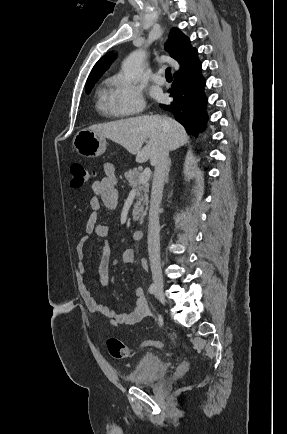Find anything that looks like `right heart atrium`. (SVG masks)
<instances>
[{
	"label": "right heart atrium",
	"mask_w": 287,
	"mask_h": 434,
	"mask_svg": "<svg viewBox=\"0 0 287 434\" xmlns=\"http://www.w3.org/2000/svg\"><path fill=\"white\" fill-rule=\"evenodd\" d=\"M109 102L113 111L121 116L137 114L145 108L142 88L121 75L110 79Z\"/></svg>",
	"instance_id": "1"
}]
</instances>
